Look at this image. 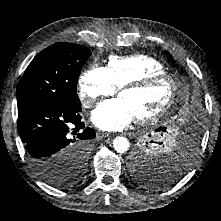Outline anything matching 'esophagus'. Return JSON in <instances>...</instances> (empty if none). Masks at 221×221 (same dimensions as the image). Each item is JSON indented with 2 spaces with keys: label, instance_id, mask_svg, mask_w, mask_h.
<instances>
[{
  "label": "esophagus",
  "instance_id": "1",
  "mask_svg": "<svg viewBox=\"0 0 221 221\" xmlns=\"http://www.w3.org/2000/svg\"><path fill=\"white\" fill-rule=\"evenodd\" d=\"M99 135H100L101 137H104V138H107V137H110V136H111L110 133H106V132H100Z\"/></svg>",
  "mask_w": 221,
  "mask_h": 221
}]
</instances>
